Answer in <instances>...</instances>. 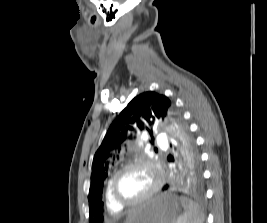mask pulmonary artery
Here are the masks:
<instances>
[{"instance_id":"1","label":"pulmonary artery","mask_w":267,"mask_h":223,"mask_svg":"<svg viewBox=\"0 0 267 223\" xmlns=\"http://www.w3.org/2000/svg\"><path fill=\"white\" fill-rule=\"evenodd\" d=\"M160 146H163V144H162V143H160Z\"/></svg>"}]
</instances>
